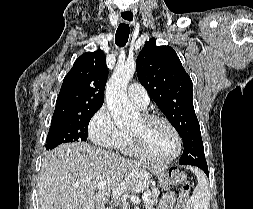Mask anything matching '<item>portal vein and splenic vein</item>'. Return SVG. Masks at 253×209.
I'll use <instances>...</instances> for the list:
<instances>
[{"label":"portal vein and splenic vein","instance_id":"portal-vein-and-splenic-vein-1","mask_svg":"<svg viewBox=\"0 0 253 209\" xmlns=\"http://www.w3.org/2000/svg\"><path fill=\"white\" fill-rule=\"evenodd\" d=\"M106 187V182H99L97 185H96V188L101 190V189H104ZM121 191V188H115L113 189V194L116 195V194H119V192ZM149 198V193L148 192H145L143 195H142V200L143 202H146Z\"/></svg>","mask_w":253,"mask_h":209}]
</instances>
